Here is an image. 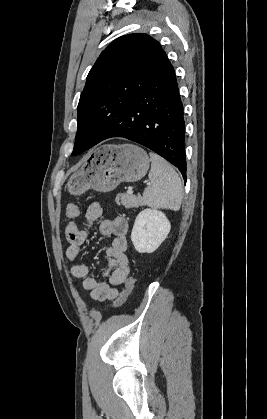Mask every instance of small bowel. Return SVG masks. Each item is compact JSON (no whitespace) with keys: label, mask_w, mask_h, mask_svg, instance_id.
<instances>
[{"label":"small bowel","mask_w":267,"mask_h":419,"mask_svg":"<svg viewBox=\"0 0 267 419\" xmlns=\"http://www.w3.org/2000/svg\"><path fill=\"white\" fill-rule=\"evenodd\" d=\"M103 213L102 204L98 201L92 202L85 214L86 222L92 226L100 219ZM74 218L65 227V236L69 243L66 250L67 259L73 263L70 272L75 278L82 280V287L89 292L92 299L97 301L112 300L118 295V287L126 280L130 266L127 250L128 222L125 218L117 217L113 220H103L99 225V232L103 236L112 237L111 244L107 249L108 267L104 272L106 281L99 282L90 277V268L83 263H75L81 254V248L86 242L88 233L80 229Z\"/></svg>","instance_id":"c3829d8e"}]
</instances>
